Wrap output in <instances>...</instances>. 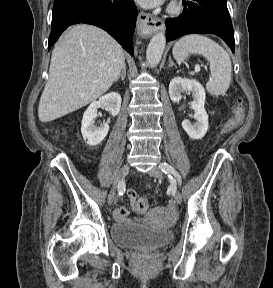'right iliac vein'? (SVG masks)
<instances>
[{
  "label": "right iliac vein",
  "mask_w": 273,
  "mask_h": 288,
  "mask_svg": "<svg viewBox=\"0 0 273 288\" xmlns=\"http://www.w3.org/2000/svg\"><path fill=\"white\" fill-rule=\"evenodd\" d=\"M130 171V165L129 164H125L121 167V169L119 170L115 180H114V183H113V186H112V189L108 195V203L109 204H112L114 202V199H115V195H116V190L117 188L122 184V181L125 179V177L128 175Z\"/></svg>",
  "instance_id": "obj_1"
}]
</instances>
